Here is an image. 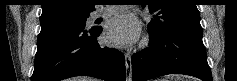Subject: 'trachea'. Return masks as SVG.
I'll return each instance as SVG.
<instances>
[{
	"label": "trachea",
	"mask_w": 237,
	"mask_h": 81,
	"mask_svg": "<svg viewBox=\"0 0 237 81\" xmlns=\"http://www.w3.org/2000/svg\"><path fill=\"white\" fill-rule=\"evenodd\" d=\"M109 3H113V4H103V5H122V4H120V3H122V2H109Z\"/></svg>",
	"instance_id": "3493384b"
}]
</instances>
